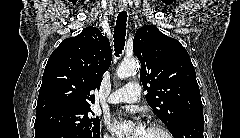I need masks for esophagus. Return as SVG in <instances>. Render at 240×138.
Masks as SVG:
<instances>
[{
	"label": "esophagus",
	"mask_w": 240,
	"mask_h": 138,
	"mask_svg": "<svg viewBox=\"0 0 240 138\" xmlns=\"http://www.w3.org/2000/svg\"><path fill=\"white\" fill-rule=\"evenodd\" d=\"M126 8H127V5H126V4H120V5H119V10H120V11H124V10H126Z\"/></svg>",
	"instance_id": "esophagus-1"
}]
</instances>
